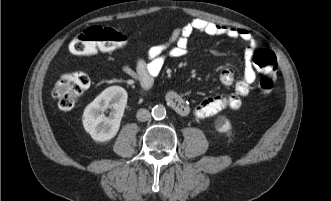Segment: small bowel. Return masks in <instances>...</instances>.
I'll list each match as a JSON object with an SVG mask.
<instances>
[{
    "label": "small bowel",
    "mask_w": 331,
    "mask_h": 201,
    "mask_svg": "<svg viewBox=\"0 0 331 201\" xmlns=\"http://www.w3.org/2000/svg\"><path fill=\"white\" fill-rule=\"evenodd\" d=\"M194 32H200L209 37L226 36L246 42L243 75L236 79L234 70L231 67H225L220 72V81L224 86H233L232 93L207 97L196 107L191 108L177 92L169 91L166 94L168 105L180 115L192 113L198 119L213 116L224 109H239L243 97L248 95L256 79L252 61L257 41L252 32L246 29L194 18L175 28L167 42L149 48L147 58L138 59L135 68L124 66V73L134 79L144 90L150 89L154 78L160 73L168 59L182 58L188 53L189 38Z\"/></svg>",
    "instance_id": "obj_1"
}]
</instances>
